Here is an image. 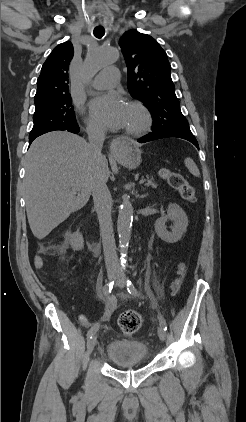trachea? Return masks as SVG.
I'll use <instances>...</instances> for the list:
<instances>
[{"label": "trachea", "mask_w": 246, "mask_h": 422, "mask_svg": "<svg viewBox=\"0 0 246 422\" xmlns=\"http://www.w3.org/2000/svg\"><path fill=\"white\" fill-rule=\"evenodd\" d=\"M93 33H94V36L96 38H102L104 36V34H105V29L103 27H96L94 29V32Z\"/></svg>", "instance_id": "trachea-1"}]
</instances>
